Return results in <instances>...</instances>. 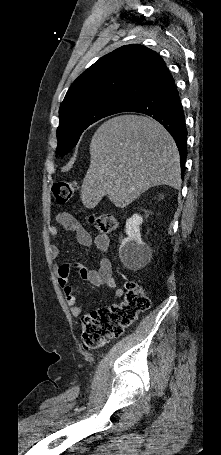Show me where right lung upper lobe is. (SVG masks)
Here are the masks:
<instances>
[{
    "label": "right lung upper lobe",
    "instance_id": "1",
    "mask_svg": "<svg viewBox=\"0 0 221 455\" xmlns=\"http://www.w3.org/2000/svg\"><path fill=\"white\" fill-rule=\"evenodd\" d=\"M166 67L163 59L142 45H126L103 56L70 86L59 117L98 102L124 106L139 99Z\"/></svg>",
    "mask_w": 221,
    "mask_h": 455
}]
</instances>
